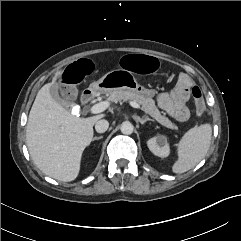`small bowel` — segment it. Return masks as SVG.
I'll return each mask as SVG.
<instances>
[{"instance_id":"small-bowel-1","label":"small bowel","mask_w":241,"mask_h":241,"mask_svg":"<svg viewBox=\"0 0 241 241\" xmlns=\"http://www.w3.org/2000/svg\"><path fill=\"white\" fill-rule=\"evenodd\" d=\"M195 88L197 87L194 86L192 79L186 73H180L172 91L162 92L156 96L157 104L175 120L185 122L190 116L187 103Z\"/></svg>"}]
</instances>
